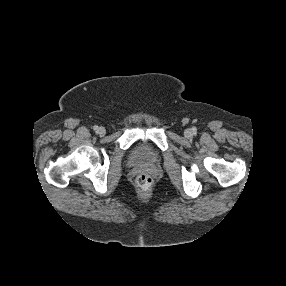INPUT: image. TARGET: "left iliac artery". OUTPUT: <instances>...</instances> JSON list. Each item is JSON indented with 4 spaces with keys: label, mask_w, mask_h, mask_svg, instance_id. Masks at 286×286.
I'll return each mask as SVG.
<instances>
[{
    "label": "left iliac artery",
    "mask_w": 286,
    "mask_h": 286,
    "mask_svg": "<svg viewBox=\"0 0 286 286\" xmlns=\"http://www.w3.org/2000/svg\"><path fill=\"white\" fill-rule=\"evenodd\" d=\"M192 130H193V133L196 134L197 129L193 127Z\"/></svg>",
    "instance_id": "obj_1"
}]
</instances>
